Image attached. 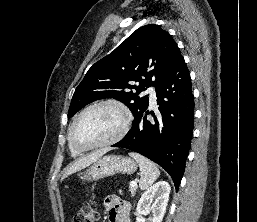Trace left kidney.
Wrapping results in <instances>:
<instances>
[{"label":"left kidney","mask_w":257,"mask_h":222,"mask_svg":"<svg viewBox=\"0 0 257 222\" xmlns=\"http://www.w3.org/2000/svg\"><path fill=\"white\" fill-rule=\"evenodd\" d=\"M170 185L166 181H159L147 189L137 204V213L144 215L153 213V222H162L166 212L170 194Z\"/></svg>","instance_id":"1"}]
</instances>
